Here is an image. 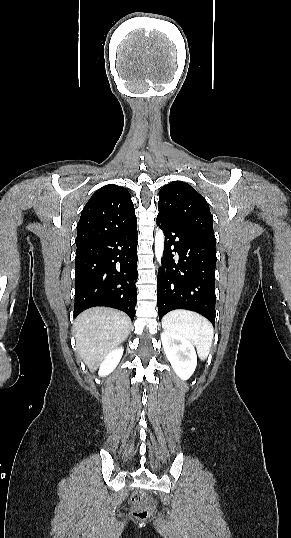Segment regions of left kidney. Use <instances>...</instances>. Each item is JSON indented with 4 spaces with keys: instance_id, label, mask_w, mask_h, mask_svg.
Segmentation results:
<instances>
[{
    "instance_id": "1",
    "label": "left kidney",
    "mask_w": 291,
    "mask_h": 538,
    "mask_svg": "<svg viewBox=\"0 0 291 538\" xmlns=\"http://www.w3.org/2000/svg\"><path fill=\"white\" fill-rule=\"evenodd\" d=\"M161 341L177 376L182 380L189 379L197 366V355L192 343L184 336L169 331L161 334Z\"/></svg>"
}]
</instances>
